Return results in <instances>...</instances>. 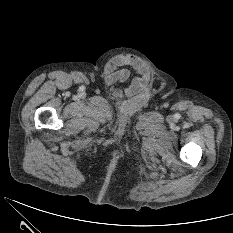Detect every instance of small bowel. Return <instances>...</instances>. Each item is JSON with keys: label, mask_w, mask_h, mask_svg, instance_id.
<instances>
[{"label": "small bowel", "mask_w": 233, "mask_h": 233, "mask_svg": "<svg viewBox=\"0 0 233 233\" xmlns=\"http://www.w3.org/2000/svg\"><path fill=\"white\" fill-rule=\"evenodd\" d=\"M132 68L138 73L127 86L118 84L125 82L130 77ZM104 80L110 86L111 92L116 97H132L142 92L150 80V71L147 65L138 57L117 55L111 58L104 66Z\"/></svg>", "instance_id": "c3829d8e"}]
</instances>
